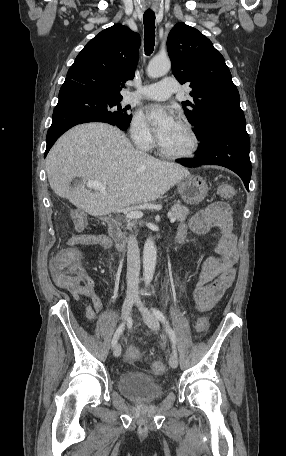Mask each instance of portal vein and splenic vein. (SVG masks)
Instances as JSON below:
<instances>
[{"label":"portal vein and splenic vein","instance_id":"obj_1","mask_svg":"<svg viewBox=\"0 0 286 456\" xmlns=\"http://www.w3.org/2000/svg\"><path fill=\"white\" fill-rule=\"evenodd\" d=\"M87 187L90 189H94V190L100 191L102 193H105L107 185L105 183H102L99 181L90 180L87 182ZM142 216H143V212L133 210V209L128 210V212L126 213V217L130 218V219H138V218H141ZM168 217L170 218L171 223L175 222L176 219H175V217L172 216L171 213L168 214Z\"/></svg>","mask_w":286,"mask_h":456}]
</instances>
